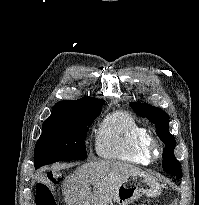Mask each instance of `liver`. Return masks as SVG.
Returning a JSON list of instances; mask_svg holds the SVG:
<instances>
[{
	"instance_id": "obj_1",
	"label": "liver",
	"mask_w": 199,
	"mask_h": 205,
	"mask_svg": "<svg viewBox=\"0 0 199 205\" xmlns=\"http://www.w3.org/2000/svg\"><path fill=\"white\" fill-rule=\"evenodd\" d=\"M131 174L145 172L122 162L98 160L85 163L67 176L63 183L66 205H109L121 181Z\"/></svg>"
}]
</instances>
